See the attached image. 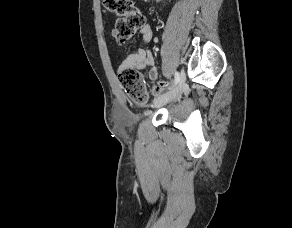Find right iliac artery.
I'll return each mask as SVG.
<instances>
[{"instance_id": "obj_1", "label": "right iliac artery", "mask_w": 292, "mask_h": 228, "mask_svg": "<svg viewBox=\"0 0 292 228\" xmlns=\"http://www.w3.org/2000/svg\"><path fill=\"white\" fill-rule=\"evenodd\" d=\"M180 81V75L178 72H175V84H177Z\"/></svg>"}]
</instances>
